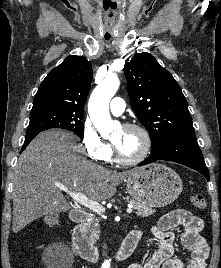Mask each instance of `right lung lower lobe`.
<instances>
[{
	"label": "right lung lower lobe",
	"instance_id": "right-lung-lower-lobe-1",
	"mask_svg": "<svg viewBox=\"0 0 221 268\" xmlns=\"http://www.w3.org/2000/svg\"><path fill=\"white\" fill-rule=\"evenodd\" d=\"M37 134H29L25 137L24 145L21 149V152L27 147V145L30 143V141L36 136Z\"/></svg>",
	"mask_w": 221,
	"mask_h": 268
}]
</instances>
